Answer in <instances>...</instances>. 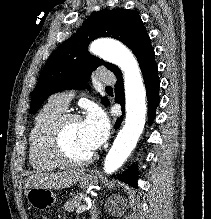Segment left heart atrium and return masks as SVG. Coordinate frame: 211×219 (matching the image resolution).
<instances>
[{"mask_svg":"<svg viewBox=\"0 0 211 219\" xmlns=\"http://www.w3.org/2000/svg\"><path fill=\"white\" fill-rule=\"evenodd\" d=\"M83 134L92 150L99 148L109 134V122L99 108H91L86 118L81 121Z\"/></svg>","mask_w":211,"mask_h":219,"instance_id":"1","label":"left heart atrium"}]
</instances>
